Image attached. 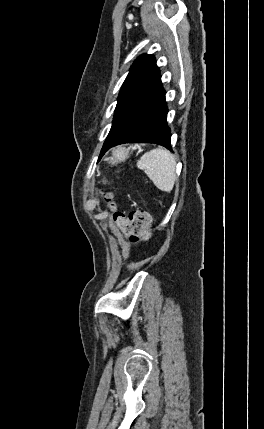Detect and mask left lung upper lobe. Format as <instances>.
Wrapping results in <instances>:
<instances>
[{
  "mask_svg": "<svg viewBox=\"0 0 264 429\" xmlns=\"http://www.w3.org/2000/svg\"><path fill=\"white\" fill-rule=\"evenodd\" d=\"M160 83L155 58L146 54L138 57L120 90L112 127L102 150L120 136L140 102Z\"/></svg>",
  "mask_w": 264,
  "mask_h": 429,
  "instance_id": "left-lung-upper-lobe-1",
  "label": "left lung upper lobe"
}]
</instances>
